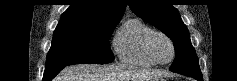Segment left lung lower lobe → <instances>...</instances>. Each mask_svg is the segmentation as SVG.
<instances>
[{
  "mask_svg": "<svg viewBox=\"0 0 237 81\" xmlns=\"http://www.w3.org/2000/svg\"><path fill=\"white\" fill-rule=\"evenodd\" d=\"M186 76H188V75H186ZM190 77H193V78H195V79L198 80V81H203V77H202V76L190 75Z\"/></svg>",
  "mask_w": 237,
  "mask_h": 81,
  "instance_id": "obj_1",
  "label": "left lung lower lobe"
}]
</instances>
